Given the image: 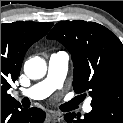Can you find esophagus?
Instances as JSON below:
<instances>
[{
  "mask_svg": "<svg viewBox=\"0 0 123 123\" xmlns=\"http://www.w3.org/2000/svg\"><path fill=\"white\" fill-rule=\"evenodd\" d=\"M49 116L52 117L57 122L63 120V114L60 112H51L49 113Z\"/></svg>",
  "mask_w": 123,
  "mask_h": 123,
  "instance_id": "obj_1",
  "label": "esophagus"
}]
</instances>
